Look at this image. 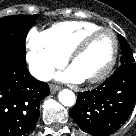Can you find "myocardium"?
<instances>
[{"instance_id":"myocardium-1","label":"myocardium","mask_w":136,"mask_h":136,"mask_svg":"<svg viewBox=\"0 0 136 136\" xmlns=\"http://www.w3.org/2000/svg\"><path fill=\"white\" fill-rule=\"evenodd\" d=\"M108 33L112 36L113 41H114V49L113 53L111 56L110 61L108 64L96 75H93L91 77L84 78V80L88 83H98L103 81L108 77V75L112 72L114 69L117 59H118V54H119V41L117 38L116 33L108 28H100L96 31H93L86 36H84L77 44L76 46L72 49V51L68 55V61L70 65L74 63V61L88 48V46L91 44V42L98 37L101 34Z\"/></svg>"}]
</instances>
